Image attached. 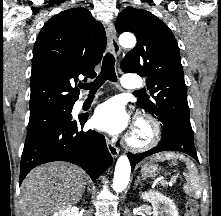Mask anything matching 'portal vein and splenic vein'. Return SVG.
<instances>
[{
  "instance_id": "obj_1",
  "label": "portal vein and splenic vein",
  "mask_w": 221,
  "mask_h": 216,
  "mask_svg": "<svg viewBox=\"0 0 221 216\" xmlns=\"http://www.w3.org/2000/svg\"><path fill=\"white\" fill-rule=\"evenodd\" d=\"M174 182H176V179H175V178H172V179L169 181V184H173ZM161 183H166V180L162 179Z\"/></svg>"
}]
</instances>
